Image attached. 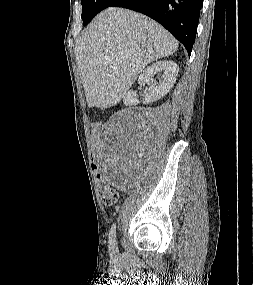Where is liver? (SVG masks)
<instances>
[{
    "label": "liver",
    "instance_id": "liver-1",
    "mask_svg": "<svg viewBox=\"0 0 253 285\" xmlns=\"http://www.w3.org/2000/svg\"><path fill=\"white\" fill-rule=\"evenodd\" d=\"M159 23L134 11L109 7L85 29L76 45L88 107L119 103L150 62L178 49Z\"/></svg>",
    "mask_w": 253,
    "mask_h": 285
}]
</instances>
